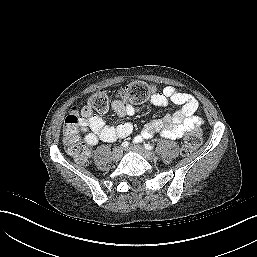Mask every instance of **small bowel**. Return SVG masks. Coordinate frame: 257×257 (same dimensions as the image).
<instances>
[{
  "mask_svg": "<svg viewBox=\"0 0 257 257\" xmlns=\"http://www.w3.org/2000/svg\"><path fill=\"white\" fill-rule=\"evenodd\" d=\"M169 102L179 105L180 108L172 114H166L146 124L136 140L149 139L155 133H160L169 139L181 138L194 128L201 126L202 119L195 115L198 102L190 94L167 86L151 99V103L155 106H165ZM112 107L117 116V123L114 125H108L103 118L87 108L82 110L80 127L86 133L85 140L89 145H96L99 141L113 142L126 138L132 133L131 123L120 122V120L134 115L138 108L125 104L119 99L113 101Z\"/></svg>",
  "mask_w": 257,
  "mask_h": 257,
  "instance_id": "small-bowel-1",
  "label": "small bowel"
}]
</instances>
